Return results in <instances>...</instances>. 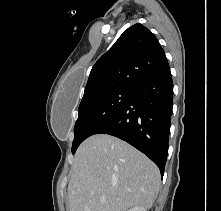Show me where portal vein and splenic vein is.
Segmentation results:
<instances>
[{
    "mask_svg": "<svg viewBox=\"0 0 221 211\" xmlns=\"http://www.w3.org/2000/svg\"><path fill=\"white\" fill-rule=\"evenodd\" d=\"M105 201H106L105 198H101V199H100V202H101V203H104Z\"/></svg>",
    "mask_w": 221,
    "mask_h": 211,
    "instance_id": "18ae733b",
    "label": "portal vein and splenic vein"
}]
</instances>
